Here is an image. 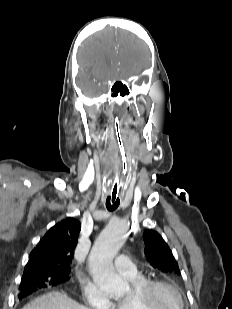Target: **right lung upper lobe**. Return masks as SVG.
Returning <instances> with one entry per match:
<instances>
[{
  "label": "right lung upper lobe",
  "mask_w": 232,
  "mask_h": 309,
  "mask_svg": "<svg viewBox=\"0 0 232 309\" xmlns=\"http://www.w3.org/2000/svg\"><path fill=\"white\" fill-rule=\"evenodd\" d=\"M80 230V222L74 218L54 225L30 253L24 274L37 271L69 274Z\"/></svg>",
  "instance_id": "1"
}]
</instances>
